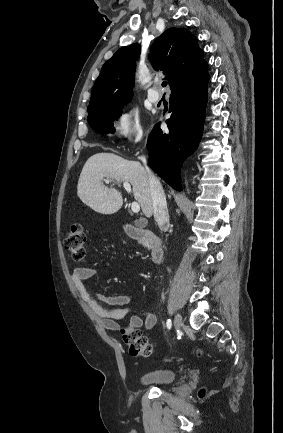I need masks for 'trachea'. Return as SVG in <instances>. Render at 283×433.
Wrapping results in <instances>:
<instances>
[{"mask_svg": "<svg viewBox=\"0 0 283 433\" xmlns=\"http://www.w3.org/2000/svg\"><path fill=\"white\" fill-rule=\"evenodd\" d=\"M166 85H167V82L162 83V87H166Z\"/></svg>", "mask_w": 283, "mask_h": 433, "instance_id": "1", "label": "trachea"}]
</instances>
